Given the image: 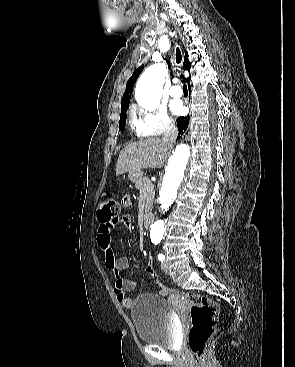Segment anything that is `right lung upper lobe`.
Wrapping results in <instances>:
<instances>
[{"instance_id": "right-lung-upper-lobe-1", "label": "right lung upper lobe", "mask_w": 295, "mask_h": 367, "mask_svg": "<svg viewBox=\"0 0 295 367\" xmlns=\"http://www.w3.org/2000/svg\"><path fill=\"white\" fill-rule=\"evenodd\" d=\"M190 66H191V63H190L189 58H188V53L185 52L183 67H184L185 70H189L190 69ZM142 70H143V65L140 66L133 73V75L131 76V78L128 80L127 85H126V90H125V92L123 94V97H122V105L127 104V103L130 102L134 83L136 82V80H137L138 76L140 75V73L142 72ZM185 81H187L189 83L190 77H188L187 80L185 79Z\"/></svg>"}]
</instances>
